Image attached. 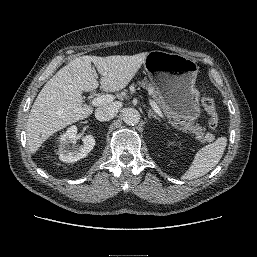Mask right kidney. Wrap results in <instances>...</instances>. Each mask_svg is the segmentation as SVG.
<instances>
[{
  "label": "right kidney",
  "mask_w": 257,
  "mask_h": 257,
  "mask_svg": "<svg viewBox=\"0 0 257 257\" xmlns=\"http://www.w3.org/2000/svg\"><path fill=\"white\" fill-rule=\"evenodd\" d=\"M77 127L71 126L67 131L59 137V159L63 162H76L84 157L94 148L95 139L91 134L82 138L83 145L80 148L70 147V143L76 141Z\"/></svg>",
  "instance_id": "1"
}]
</instances>
